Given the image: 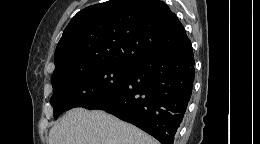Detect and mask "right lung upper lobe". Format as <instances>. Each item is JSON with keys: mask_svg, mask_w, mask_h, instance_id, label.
<instances>
[{"mask_svg": "<svg viewBox=\"0 0 260 144\" xmlns=\"http://www.w3.org/2000/svg\"><path fill=\"white\" fill-rule=\"evenodd\" d=\"M187 39L177 16L159 0H110L78 12L55 50L53 76L97 65L130 67Z\"/></svg>", "mask_w": 260, "mask_h": 144, "instance_id": "obj_1", "label": "right lung upper lobe"}]
</instances>
